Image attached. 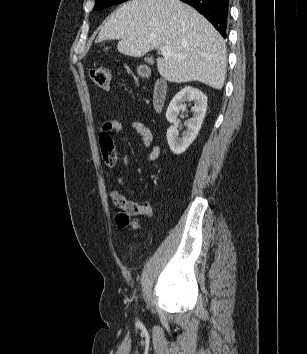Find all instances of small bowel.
Here are the masks:
<instances>
[{
    "label": "small bowel",
    "instance_id": "obj_1",
    "mask_svg": "<svg viewBox=\"0 0 307 354\" xmlns=\"http://www.w3.org/2000/svg\"><path fill=\"white\" fill-rule=\"evenodd\" d=\"M125 128L131 129L141 136L142 141H143V147L145 149L151 148L149 153L145 156V159L147 161L154 162L159 158V156L161 154V147L159 145L152 146L155 137H154V134L149 126H147L143 122L136 121V120L130 121L126 125H124L120 121L113 120V121H108V122L104 123V125L101 129V132H100V146H101L103 159L109 167H114L117 163V155H116V152L114 149L111 132H122ZM115 180H116V183L120 187L124 188L129 194L136 195V192L134 190H132L131 188L127 187L124 184V181L122 180V178L116 176ZM112 198H113V201L118 206L124 205L126 207L132 208L137 205H140L139 203L133 202L131 200H127L125 197L118 194L117 192L112 193ZM146 203L151 206L152 213H153L152 205L148 202H146Z\"/></svg>",
    "mask_w": 307,
    "mask_h": 354
}]
</instances>
